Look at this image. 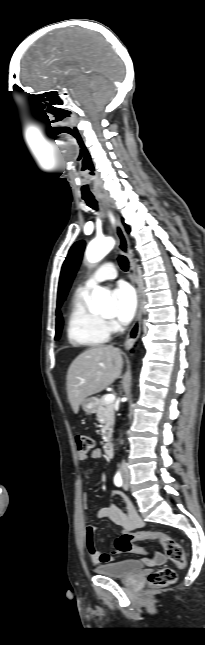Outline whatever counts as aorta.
<instances>
[{
  "label": "aorta",
  "instance_id": "762f6f07",
  "mask_svg": "<svg viewBox=\"0 0 205 645\" xmlns=\"http://www.w3.org/2000/svg\"><path fill=\"white\" fill-rule=\"evenodd\" d=\"M114 247V240L110 237L95 239L91 241L86 249V257L90 263L99 262ZM92 307L98 312H103L114 308L109 292L104 288L96 286L93 290Z\"/></svg>",
  "mask_w": 205,
  "mask_h": 645
}]
</instances>
